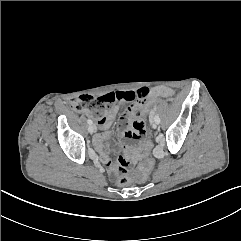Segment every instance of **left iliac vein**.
Returning <instances> with one entry per match:
<instances>
[{
    "mask_svg": "<svg viewBox=\"0 0 241 241\" xmlns=\"http://www.w3.org/2000/svg\"><path fill=\"white\" fill-rule=\"evenodd\" d=\"M151 125L155 129V128H157L158 123L155 120H152Z\"/></svg>",
    "mask_w": 241,
    "mask_h": 241,
    "instance_id": "left-iliac-vein-1",
    "label": "left iliac vein"
}]
</instances>
